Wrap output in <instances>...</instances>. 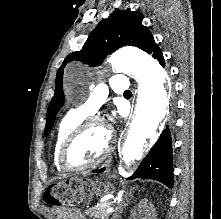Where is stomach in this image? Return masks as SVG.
Masks as SVG:
<instances>
[{
	"instance_id": "stomach-1",
	"label": "stomach",
	"mask_w": 221,
	"mask_h": 219,
	"mask_svg": "<svg viewBox=\"0 0 221 219\" xmlns=\"http://www.w3.org/2000/svg\"><path fill=\"white\" fill-rule=\"evenodd\" d=\"M67 182L80 184L67 194V199H73V204H90L94 196L109 195L114 190L112 184L100 182V178H68Z\"/></svg>"
}]
</instances>
